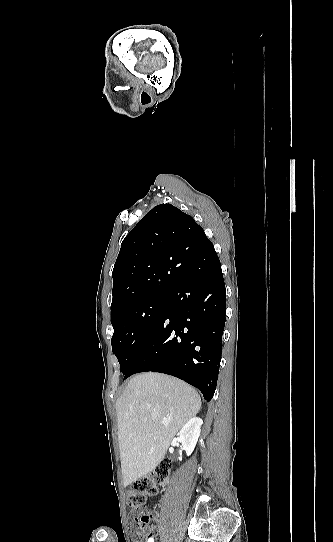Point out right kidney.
Segmentation results:
<instances>
[{
  "label": "right kidney",
  "instance_id": "ca27d5eb",
  "mask_svg": "<svg viewBox=\"0 0 333 542\" xmlns=\"http://www.w3.org/2000/svg\"><path fill=\"white\" fill-rule=\"evenodd\" d=\"M202 424L203 420H201V418H191L178 434L179 438H177V440L178 442H181L187 456H191L198 442Z\"/></svg>",
  "mask_w": 333,
  "mask_h": 542
}]
</instances>
